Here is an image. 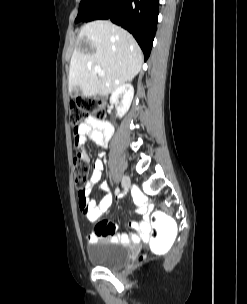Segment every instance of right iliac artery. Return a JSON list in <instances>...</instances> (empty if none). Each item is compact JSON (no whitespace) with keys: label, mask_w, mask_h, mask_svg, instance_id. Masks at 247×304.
Returning <instances> with one entry per match:
<instances>
[{"label":"right iliac artery","mask_w":247,"mask_h":304,"mask_svg":"<svg viewBox=\"0 0 247 304\" xmlns=\"http://www.w3.org/2000/svg\"><path fill=\"white\" fill-rule=\"evenodd\" d=\"M115 194L118 195L119 194V188H116L115 190Z\"/></svg>","instance_id":"82829eb1"}]
</instances>
